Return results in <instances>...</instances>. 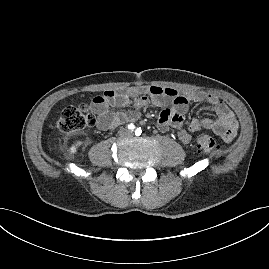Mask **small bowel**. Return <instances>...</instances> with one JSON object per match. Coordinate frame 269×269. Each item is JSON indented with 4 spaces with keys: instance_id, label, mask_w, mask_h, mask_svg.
I'll return each instance as SVG.
<instances>
[{
    "instance_id": "c3829d8e",
    "label": "small bowel",
    "mask_w": 269,
    "mask_h": 269,
    "mask_svg": "<svg viewBox=\"0 0 269 269\" xmlns=\"http://www.w3.org/2000/svg\"><path fill=\"white\" fill-rule=\"evenodd\" d=\"M190 103L203 104L213 114L211 118L192 119L188 130L184 128L185 114ZM158 107L170 105L159 116L157 127L161 132L173 127L177 129L178 138L184 144L191 141L190 132L201 129L212 130L225 142H231L238 131V123L232 111L216 96L201 92L180 94L173 88L159 86L131 87L120 90H106L96 96L91 102V109L98 115V128L101 130L113 129L125 122L138 119L139 110L148 105ZM131 105L132 110L114 112L112 107Z\"/></svg>"
}]
</instances>
